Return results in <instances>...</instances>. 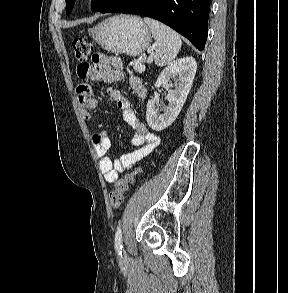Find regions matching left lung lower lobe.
<instances>
[{
  "mask_svg": "<svg viewBox=\"0 0 288 293\" xmlns=\"http://www.w3.org/2000/svg\"><path fill=\"white\" fill-rule=\"evenodd\" d=\"M211 0H116L101 13L138 14L156 19L203 50Z\"/></svg>",
  "mask_w": 288,
  "mask_h": 293,
  "instance_id": "obj_1",
  "label": "left lung lower lobe"
}]
</instances>
